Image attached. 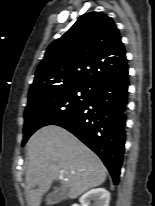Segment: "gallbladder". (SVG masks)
Here are the masks:
<instances>
[{
  "label": "gallbladder",
  "mask_w": 155,
  "mask_h": 206,
  "mask_svg": "<svg viewBox=\"0 0 155 206\" xmlns=\"http://www.w3.org/2000/svg\"><path fill=\"white\" fill-rule=\"evenodd\" d=\"M67 196V188L62 187L60 189L54 188L52 192H50L46 197V203L48 205H54L62 200H64Z\"/></svg>",
  "instance_id": "1"
}]
</instances>
